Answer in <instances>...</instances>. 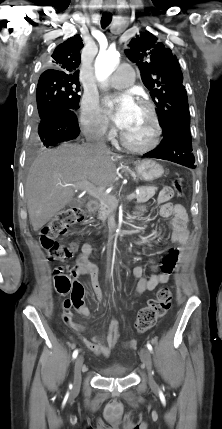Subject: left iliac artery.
Instances as JSON below:
<instances>
[{"label":"left iliac artery","instance_id":"obj_1","mask_svg":"<svg viewBox=\"0 0 222 429\" xmlns=\"http://www.w3.org/2000/svg\"><path fill=\"white\" fill-rule=\"evenodd\" d=\"M146 346H147V348H148V350H149V351H152V350H153L152 345H151L150 343H147V345H146Z\"/></svg>","mask_w":222,"mask_h":429}]
</instances>
